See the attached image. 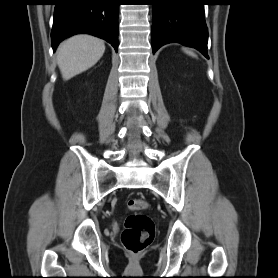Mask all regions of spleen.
Listing matches in <instances>:
<instances>
[{
    "mask_svg": "<svg viewBox=\"0 0 278 278\" xmlns=\"http://www.w3.org/2000/svg\"><path fill=\"white\" fill-rule=\"evenodd\" d=\"M184 52H185L186 54L192 56V57H196V55H195L192 51H190V50H188V49H184Z\"/></svg>",
    "mask_w": 278,
    "mask_h": 278,
    "instance_id": "1",
    "label": "spleen"
}]
</instances>
